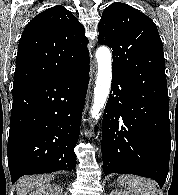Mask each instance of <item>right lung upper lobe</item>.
<instances>
[{
	"mask_svg": "<svg viewBox=\"0 0 178 195\" xmlns=\"http://www.w3.org/2000/svg\"><path fill=\"white\" fill-rule=\"evenodd\" d=\"M87 43L84 27L63 6L38 14L19 41L14 86L76 72L89 63Z\"/></svg>",
	"mask_w": 178,
	"mask_h": 195,
	"instance_id": "1",
	"label": "right lung upper lobe"
}]
</instances>
